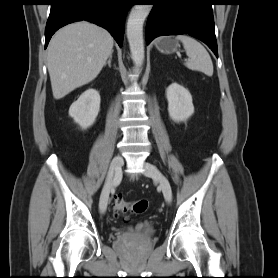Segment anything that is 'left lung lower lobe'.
<instances>
[{"instance_id":"left-lung-lower-lobe-1","label":"left lung lower lobe","mask_w":278,"mask_h":278,"mask_svg":"<svg viewBox=\"0 0 278 278\" xmlns=\"http://www.w3.org/2000/svg\"><path fill=\"white\" fill-rule=\"evenodd\" d=\"M214 0H151L146 42L162 35L189 34L203 41L218 57L212 4Z\"/></svg>"}]
</instances>
